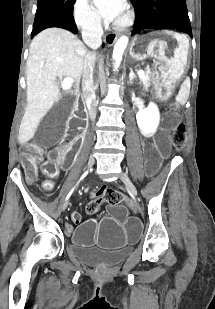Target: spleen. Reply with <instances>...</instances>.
<instances>
[{"label": "spleen", "instance_id": "1", "mask_svg": "<svg viewBox=\"0 0 215 309\" xmlns=\"http://www.w3.org/2000/svg\"><path fill=\"white\" fill-rule=\"evenodd\" d=\"M183 84H189V78H186L185 82H183ZM176 100L177 102H180V104H185L186 100H187V96H182V92L180 90L179 94H177L176 96Z\"/></svg>", "mask_w": 215, "mask_h": 309}]
</instances>
